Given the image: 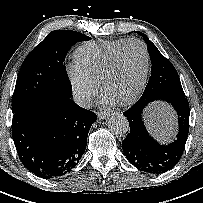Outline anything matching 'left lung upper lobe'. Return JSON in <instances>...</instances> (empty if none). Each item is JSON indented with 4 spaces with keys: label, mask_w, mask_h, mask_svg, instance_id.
I'll return each mask as SVG.
<instances>
[{
    "label": "left lung upper lobe",
    "mask_w": 203,
    "mask_h": 203,
    "mask_svg": "<svg viewBox=\"0 0 203 203\" xmlns=\"http://www.w3.org/2000/svg\"><path fill=\"white\" fill-rule=\"evenodd\" d=\"M137 33L145 40L152 62L151 78L141 99L185 97L180 78L174 66L160 53L144 33Z\"/></svg>",
    "instance_id": "1"
}]
</instances>
